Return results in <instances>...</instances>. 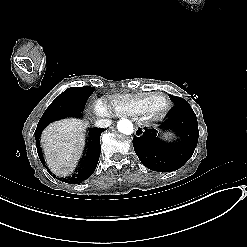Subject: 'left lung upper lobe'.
Wrapping results in <instances>:
<instances>
[{
  "label": "left lung upper lobe",
  "mask_w": 247,
  "mask_h": 247,
  "mask_svg": "<svg viewBox=\"0 0 247 247\" xmlns=\"http://www.w3.org/2000/svg\"><path fill=\"white\" fill-rule=\"evenodd\" d=\"M170 96H171L175 106L189 105V103L183 98H180V97H177V96H172V95H170Z\"/></svg>",
  "instance_id": "obj_1"
}]
</instances>
